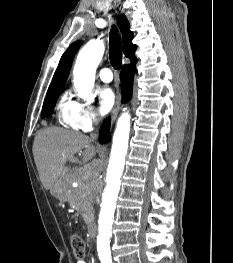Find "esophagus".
Here are the masks:
<instances>
[{"mask_svg": "<svg viewBox=\"0 0 233 263\" xmlns=\"http://www.w3.org/2000/svg\"><path fill=\"white\" fill-rule=\"evenodd\" d=\"M120 102H121V92L118 91L117 96H116V103H115V106L111 112V120L112 121L116 118V116L118 114V111L120 108Z\"/></svg>", "mask_w": 233, "mask_h": 263, "instance_id": "34e87169", "label": "esophagus"}]
</instances>
